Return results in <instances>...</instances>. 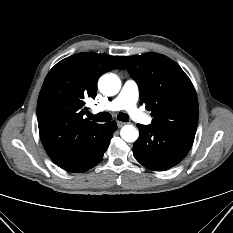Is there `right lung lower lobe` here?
I'll return each mask as SVG.
<instances>
[{"label":"right lung lower lobe","mask_w":233,"mask_h":233,"mask_svg":"<svg viewBox=\"0 0 233 233\" xmlns=\"http://www.w3.org/2000/svg\"><path fill=\"white\" fill-rule=\"evenodd\" d=\"M116 129L117 125L115 121L102 124V127L99 131L100 133L96 137L95 151L92 157H90V159L82 165L61 168L69 172H85L96 166L101 161L104 152L107 150L109 142L112 138V134Z\"/></svg>","instance_id":"1"}]
</instances>
